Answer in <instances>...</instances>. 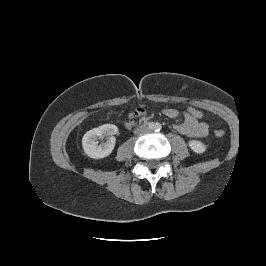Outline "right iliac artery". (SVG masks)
Returning <instances> with one entry per match:
<instances>
[{
	"mask_svg": "<svg viewBox=\"0 0 266 266\" xmlns=\"http://www.w3.org/2000/svg\"><path fill=\"white\" fill-rule=\"evenodd\" d=\"M148 128H149L150 130H153V129L155 128L154 123H149V124H148Z\"/></svg>",
	"mask_w": 266,
	"mask_h": 266,
	"instance_id": "right-iliac-artery-1",
	"label": "right iliac artery"
}]
</instances>
